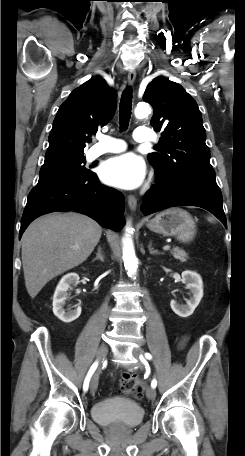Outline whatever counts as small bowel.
Returning a JSON list of instances; mask_svg holds the SVG:
<instances>
[{
	"mask_svg": "<svg viewBox=\"0 0 245 456\" xmlns=\"http://www.w3.org/2000/svg\"><path fill=\"white\" fill-rule=\"evenodd\" d=\"M185 343V339H182V341L180 342V346H183Z\"/></svg>",
	"mask_w": 245,
	"mask_h": 456,
	"instance_id": "c3829d8e",
	"label": "small bowel"
}]
</instances>
